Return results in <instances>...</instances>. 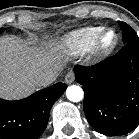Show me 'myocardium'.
<instances>
[{
  "mask_svg": "<svg viewBox=\"0 0 139 139\" xmlns=\"http://www.w3.org/2000/svg\"><path fill=\"white\" fill-rule=\"evenodd\" d=\"M109 32H112L114 34V40L111 44L109 45H104L103 44V39L105 35ZM120 41V37L118 32L113 29V28H104L95 38L92 48H91V53L92 56L96 59H105L109 57L117 48L118 44Z\"/></svg>",
  "mask_w": 139,
  "mask_h": 139,
  "instance_id": "myocardium-1",
  "label": "myocardium"
}]
</instances>
